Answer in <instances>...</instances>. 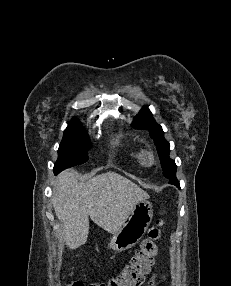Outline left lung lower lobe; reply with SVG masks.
<instances>
[{
    "label": "left lung lower lobe",
    "instance_id": "0a47b994",
    "mask_svg": "<svg viewBox=\"0 0 231 286\" xmlns=\"http://www.w3.org/2000/svg\"><path fill=\"white\" fill-rule=\"evenodd\" d=\"M169 182L179 187V182L177 181L176 176L170 179Z\"/></svg>",
    "mask_w": 231,
    "mask_h": 286
}]
</instances>
